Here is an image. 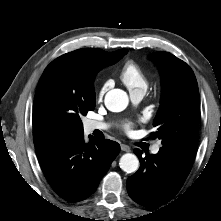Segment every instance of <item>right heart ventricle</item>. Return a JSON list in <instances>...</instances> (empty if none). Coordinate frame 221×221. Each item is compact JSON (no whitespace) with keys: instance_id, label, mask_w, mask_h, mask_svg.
Wrapping results in <instances>:
<instances>
[{"instance_id":"obj_1","label":"right heart ventricle","mask_w":221,"mask_h":221,"mask_svg":"<svg viewBox=\"0 0 221 221\" xmlns=\"http://www.w3.org/2000/svg\"><path fill=\"white\" fill-rule=\"evenodd\" d=\"M120 79L129 91L146 90L148 86L145 72L135 61H127L123 65L120 71Z\"/></svg>"}]
</instances>
